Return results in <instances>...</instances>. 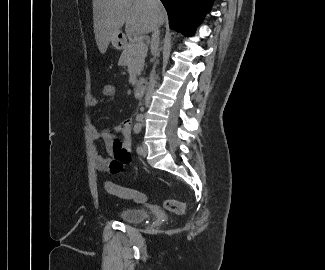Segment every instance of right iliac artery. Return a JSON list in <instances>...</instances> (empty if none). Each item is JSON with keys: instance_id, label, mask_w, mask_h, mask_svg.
I'll use <instances>...</instances> for the list:
<instances>
[{"instance_id": "obj_1", "label": "right iliac artery", "mask_w": 325, "mask_h": 270, "mask_svg": "<svg viewBox=\"0 0 325 270\" xmlns=\"http://www.w3.org/2000/svg\"><path fill=\"white\" fill-rule=\"evenodd\" d=\"M136 120H137V121H141L142 118H141L140 116H137Z\"/></svg>"}]
</instances>
